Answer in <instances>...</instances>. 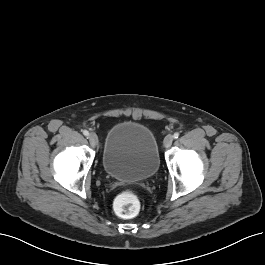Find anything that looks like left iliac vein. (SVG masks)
<instances>
[{
    "mask_svg": "<svg viewBox=\"0 0 265 265\" xmlns=\"http://www.w3.org/2000/svg\"><path fill=\"white\" fill-rule=\"evenodd\" d=\"M173 142V136L167 135L163 141V145L165 148H169Z\"/></svg>",
    "mask_w": 265,
    "mask_h": 265,
    "instance_id": "1",
    "label": "left iliac vein"
}]
</instances>
